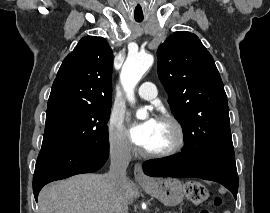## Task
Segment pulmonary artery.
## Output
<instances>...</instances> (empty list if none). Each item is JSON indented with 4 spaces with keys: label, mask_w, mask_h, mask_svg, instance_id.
<instances>
[{
    "label": "pulmonary artery",
    "mask_w": 270,
    "mask_h": 213,
    "mask_svg": "<svg viewBox=\"0 0 270 213\" xmlns=\"http://www.w3.org/2000/svg\"><path fill=\"white\" fill-rule=\"evenodd\" d=\"M157 93L156 85L153 82H144L138 89V95L144 100H152Z\"/></svg>",
    "instance_id": "1"
}]
</instances>
